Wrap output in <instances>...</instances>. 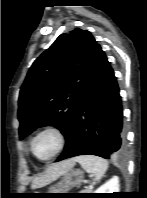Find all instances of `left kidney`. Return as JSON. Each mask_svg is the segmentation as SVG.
<instances>
[{"label":"left kidney","mask_w":147,"mask_h":198,"mask_svg":"<svg viewBox=\"0 0 147 198\" xmlns=\"http://www.w3.org/2000/svg\"><path fill=\"white\" fill-rule=\"evenodd\" d=\"M119 192V178L117 176L112 177L105 184L100 186L94 193H113Z\"/></svg>","instance_id":"left-kidney-1"}]
</instances>
